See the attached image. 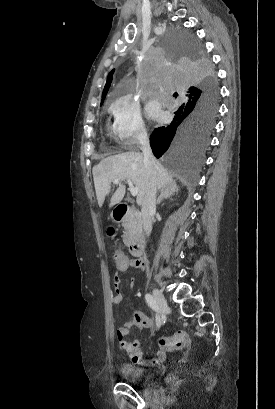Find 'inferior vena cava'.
Here are the masks:
<instances>
[{
	"label": "inferior vena cava",
	"mask_w": 275,
	"mask_h": 409,
	"mask_svg": "<svg viewBox=\"0 0 275 409\" xmlns=\"http://www.w3.org/2000/svg\"><path fill=\"white\" fill-rule=\"evenodd\" d=\"M144 154V164L147 168V192L142 200L141 217L145 235L149 237L152 231L151 217L156 211V180L155 158L152 154L147 132H139L138 136Z\"/></svg>",
	"instance_id": "1"
}]
</instances>
